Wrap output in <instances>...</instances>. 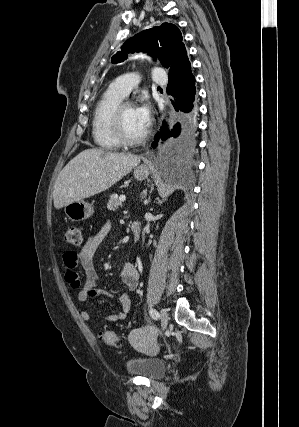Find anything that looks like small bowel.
<instances>
[{
	"label": "small bowel",
	"instance_id": "c3829d8e",
	"mask_svg": "<svg viewBox=\"0 0 299 427\" xmlns=\"http://www.w3.org/2000/svg\"><path fill=\"white\" fill-rule=\"evenodd\" d=\"M110 231V223H105L99 230L90 234L78 252L68 251L63 255V264L65 266L66 282L74 289L78 290L77 299L84 303L90 297L103 295L110 297L109 293H99L96 291L97 272L94 263V257L105 238ZM78 266L84 271V277H79L77 273ZM120 280L124 285L133 291L137 288L139 282V272L131 263H126L120 272ZM121 309L118 313L105 315L103 319L106 322H119L124 320L131 309V300L127 294L119 297ZM80 316L88 321L92 320L95 315L87 310H81Z\"/></svg>",
	"mask_w": 299,
	"mask_h": 427
}]
</instances>
